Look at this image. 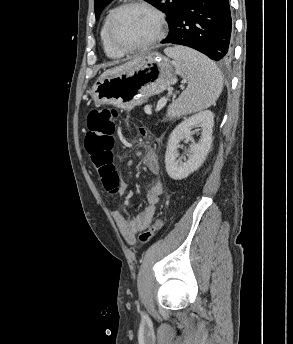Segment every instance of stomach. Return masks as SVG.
Wrapping results in <instances>:
<instances>
[{
	"instance_id": "0dacf381",
	"label": "stomach",
	"mask_w": 293,
	"mask_h": 344,
	"mask_svg": "<svg viewBox=\"0 0 293 344\" xmlns=\"http://www.w3.org/2000/svg\"><path fill=\"white\" fill-rule=\"evenodd\" d=\"M178 73V66L167 57L149 52L131 69L96 81L89 94L97 104L114 105L130 111L174 85Z\"/></svg>"
}]
</instances>
